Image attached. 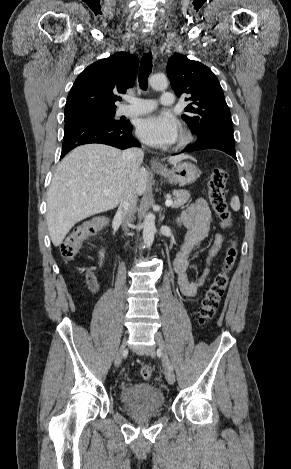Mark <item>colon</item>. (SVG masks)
I'll return each instance as SVG.
<instances>
[{
  "instance_id": "colon-1",
  "label": "colon",
  "mask_w": 291,
  "mask_h": 469,
  "mask_svg": "<svg viewBox=\"0 0 291 469\" xmlns=\"http://www.w3.org/2000/svg\"><path fill=\"white\" fill-rule=\"evenodd\" d=\"M227 180V171L221 167L215 168L208 182V196L216 216L224 225L230 226L232 219L225 201L224 193ZM105 224L106 218L97 216L75 226L60 247L61 255L64 260H73L79 253L83 242L102 229ZM237 255L238 249L236 243L231 242L226 250L221 271L215 275L202 298L198 311L199 322L201 324L210 322L214 317L221 298L227 288L229 274L235 264ZM139 375L143 380H150L152 377V368L148 365L142 366Z\"/></svg>"
}]
</instances>
